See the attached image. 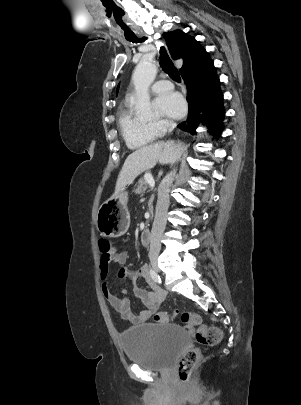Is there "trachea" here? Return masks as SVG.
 <instances>
[{
    "mask_svg": "<svg viewBox=\"0 0 301 405\" xmlns=\"http://www.w3.org/2000/svg\"><path fill=\"white\" fill-rule=\"evenodd\" d=\"M126 39L132 43H141L144 42L147 38H139L134 35L132 37H126ZM160 64L164 72L167 73L173 80L181 82L179 72L175 68L164 46H160Z\"/></svg>",
    "mask_w": 301,
    "mask_h": 405,
    "instance_id": "1",
    "label": "trachea"
}]
</instances>
